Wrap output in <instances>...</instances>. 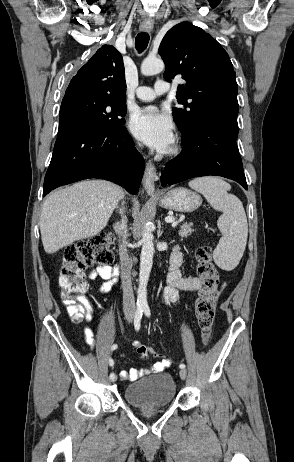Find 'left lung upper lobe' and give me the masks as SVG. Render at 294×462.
<instances>
[{
	"label": "left lung upper lobe",
	"mask_w": 294,
	"mask_h": 462,
	"mask_svg": "<svg viewBox=\"0 0 294 462\" xmlns=\"http://www.w3.org/2000/svg\"><path fill=\"white\" fill-rule=\"evenodd\" d=\"M159 54L166 65L167 81L182 75L176 98L184 108H173L174 121L187 137L212 110L238 107V85L224 48L203 29L189 22L172 27L164 36Z\"/></svg>",
	"instance_id": "5c2ea615"
}]
</instances>
